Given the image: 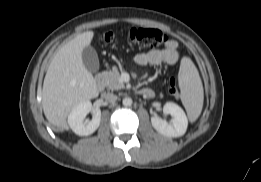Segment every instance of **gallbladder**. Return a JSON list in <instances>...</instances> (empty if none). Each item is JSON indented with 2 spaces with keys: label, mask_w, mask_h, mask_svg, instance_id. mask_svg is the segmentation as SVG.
Returning a JSON list of instances; mask_svg holds the SVG:
<instances>
[{
  "label": "gallbladder",
  "mask_w": 261,
  "mask_h": 182,
  "mask_svg": "<svg viewBox=\"0 0 261 182\" xmlns=\"http://www.w3.org/2000/svg\"><path fill=\"white\" fill-rule=\"evenodd\" d=\"M82 61L89 72L96 73L99 70L98 55L92 46L84 47L82 51Z\"/></svg>",
  "instance_id": "1"
}]
</instances>
